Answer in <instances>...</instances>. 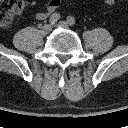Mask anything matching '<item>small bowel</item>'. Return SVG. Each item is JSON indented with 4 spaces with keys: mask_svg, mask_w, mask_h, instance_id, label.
<instances>
[{
    "mask_svg": "<svg viewBox=\"0 0 128 128\" xmlns=\"http://www.w3.org/2000/svg\"><path fill=\"white\" fill-rule=\"evenodd\" d=\"M28 4H34V0H27ZM61 4V0H50L45 8L39 10L36 13V18L38 20H44L48 16H50L53 12H55Z\"/></svg>",
    "mask_w": 128,
    "mask_h": 128,
    "instance_id": "small-bowel-1",
    "label": "small bowel"
}]
</instances>
